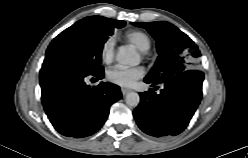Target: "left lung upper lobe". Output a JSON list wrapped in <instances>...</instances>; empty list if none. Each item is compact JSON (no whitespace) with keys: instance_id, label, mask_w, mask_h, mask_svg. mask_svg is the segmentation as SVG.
<instances>
[{"instance_id":"left-lung-upper-lobe-1","label":"left lung upper lobe","mask_w":248,"mask_h":158,"mask_svg":"<svg viewBox=\"0 0 248 158\" xmlns=\"http://www.w3.org/2000/svg\"><path fill=\"white\" fill-rule=\"evenodd\" d=\"M132 24L146 29L156 40L159 56L146 76L153 82L163 83L172 76L194 67L201 56L198 46L169 22Z\"/></svg>"}]
</instances>
